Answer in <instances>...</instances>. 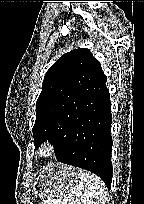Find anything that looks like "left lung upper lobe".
Wrapping results in <instances>:
<instances>
[{
	"instance_id": "left-lung-upper-lobe-1",
	"label": "left lung upper lobe",
	"mask_w": 144,
	"mask_h": 204,
	"mask_svg": "<svg viewBox=\"0 0 144 204\" xmlns=\"http://www.w3.org/2000/svg\"><path fill=\"white\" fill-rule=\"evenodd\" d=\"M89 49L78 48L60 57L46 72L36 102L34 145L62 142L86 100V88L101 72Z\"/></svg>"
}]
</instances>
